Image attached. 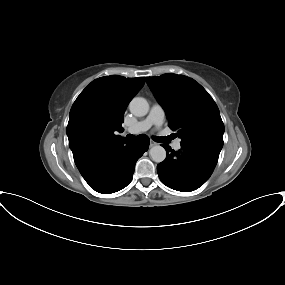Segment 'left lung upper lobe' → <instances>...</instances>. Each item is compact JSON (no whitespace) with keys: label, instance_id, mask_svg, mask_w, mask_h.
I'll list each match as a JSON object with an SVG mask.
<instances>
[{"label":"left lung upper lobe","instance_id":"5c2ea615","mask_svg":"<svg viewBox=\"0 0 285 285\" xmlns=\"http://www.w3.org/2000/svg\"><path fill=\"white\" fill-rule=\"evenodd\" d=\"M146 81L164 108L169 127L178 131L181 145L220 154L224 125L216 103L199 83L172 73Z\"/></svg>","mask_w":285,"mask_h":285}]
</instances>
